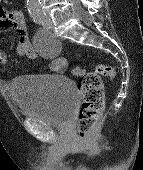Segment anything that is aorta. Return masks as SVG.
Wrapping results in <instances>:
<instances>
[{
  "mask_svg": "<svg viewBox=\"0 0 143 170\" xmlns=\"http://www.w3.org/2000/svg\"><path fill=\"white\" fill-rule=\"evenodd\" d=\"M27 8L32 18L45 16L41 0H27Z\"/></svg>",
  "mask_w": 143,
  "mask_h": 170,
  "instance_id": "obj_1",
  "label": "aorta"
}]
</instances>
